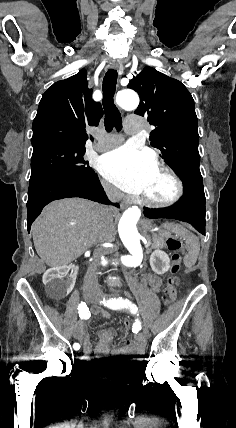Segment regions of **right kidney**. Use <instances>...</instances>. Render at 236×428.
I'll use <instances>...</instances> for the list:
<instances>
[{
	"label": "right kidney",
	"instance_id": "1",
	"mask_svg": "<svg viewBox=\"0 0 236 428\" xmlns=\"http://www.w3.org/2000/svg\"><path fill=\"white\" fill-rule=\"evenodd\" d=\"M78 270V266H73L71 274H69L68 270L60 266V268H50L45 272L43 276L44 290L45 292H50V301H63L65 296L72 292Z\"/></svg>",
	"mask_w": 236,
	"mask_h": 428
}]
</instances>
